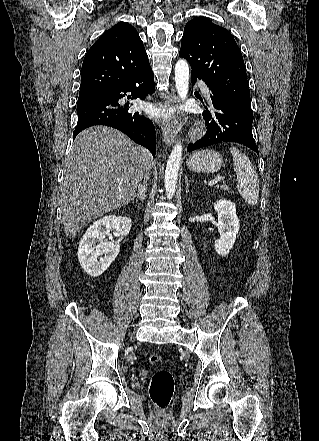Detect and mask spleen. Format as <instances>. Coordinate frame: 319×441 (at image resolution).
<instances>
[{"label": "spleen", "instance_id": "1", "mask_svg": "<svg viewBox=\"0 0 319 441\" xmlns=\"http://www.w3.org/2000/svg\"><path fill=\"white\" fill-rule=\"evenodd\" d=\"M230 152L233 156L238 191L246 203L256 205L259 199V179L257 173L245 153L236 147H231Z\"/></svg>", "mask_w": 319, "mask_h": 441}]
</instances>
